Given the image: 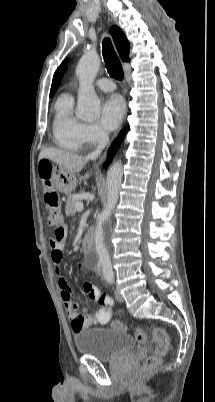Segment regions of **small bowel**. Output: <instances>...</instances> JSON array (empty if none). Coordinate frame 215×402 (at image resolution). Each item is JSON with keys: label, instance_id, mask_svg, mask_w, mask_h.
<instances>
[{"label": "small bowel", "instance_id": "small-bowel-1", "mask_svg": "<svg viewBox=\"0 0 215 402\" xmlns=\"http://www.w3.org/2000/svg\"><path fill=\"white\" fill-rule=\"evenodd\" d=\"M67 238V228L62 225L55 231V237L49 241L51 250V261L54 264V272L57 276V285L60 291L62 301L64 303L68 318L71 321V327L74 332L81 331L84 328L96 324H107L111 319V307L114 303L110 296L103 295L99 288L90 284L84 283L83 290L86 297L91 302L99 304V308L90 315L88 313L81 314L78 312L77 304L75 303L69 286L66 280L61 276L59 265L63 261L64 247ZM80 267V265H78ZM87 312V310H85Z\"/></svg>", "mask_w": 215, "mask_h": 402}]
</instances>
